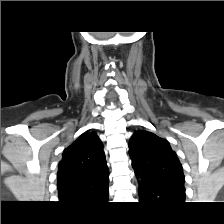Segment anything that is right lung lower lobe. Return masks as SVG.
<instances>
[{
  "label": "right lung lower lobe",
  "mask_w": 224,
  "mask_h": 224,
  "mask_svg": "<svg viewBox=\"0 0 224 224\" xmlns=\"http://www.w3.org/2000/svg\"><path fill=\"white\" fill-rule=\"evenodd\" d=\"M108 199V191L105 192L102 196H100L97 200L99 201H107Z\"/></svg>",
  "instance_id": "right-lung-lower-lobe-1"
}]
</instances>
